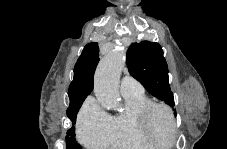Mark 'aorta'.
<instances>
[{
	"mask_svg": "<svg viewBox=\"0 0 227 149\" xmlns=\"http://www.w3.org/2000/svg\"><path fill=\"white\" fill-rule=\"evenodd\" d=\"M124 65L125 52L121 46H116L98 65L94 93L98 102L106 109L119 105V77Z\"/></svg>",
	"mask_w": 227,
	"mask_h": 149,
	"instance_id": "obj_1",
	"label": "aorta"
}]
</instances>
